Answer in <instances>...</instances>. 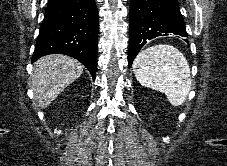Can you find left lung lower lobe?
Segmentation results:
<instances>
[{"instance_id": "obj_1", "label": "left lung lower lobe", "mask_w": 227, "mask_h": 166, "mask_svg": "<svg viewBox=\"0 0 227 166\" xmlns=\"http://www.w3.org/2000/svg\"><path fill=\"white\" fill-rule=\"evenodd\" d=\"M129 30V67L149 40L168 33L187 37L177 0H131Z\"/></svg>"}]
</instances>
